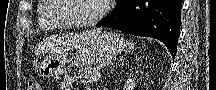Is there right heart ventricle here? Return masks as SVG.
<instances>
[{
  "label": "right heart ventricle",
  "instance_id": "obj_1",
  "mask_svg": "<svg viewBox=\"0 0 216 90\" xmlns=\"http://www.w3.org/2000/svg\"><path fill=\"white\" fill-rule=\"evenodd\" d=\"M41 6H36V10H40L37 18V25L39 29H66L65 23L62 20H57V17L44 16H60V14H51V10H56V7H61L57 0H38Z\"/></svg>",
  "mask_w": 216,
  "mask_h": 90
}]
</instances>
